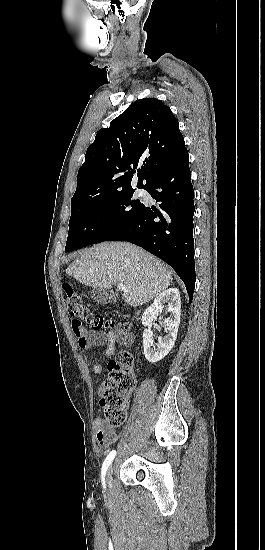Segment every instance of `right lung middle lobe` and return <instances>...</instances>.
<instances>
[{
  "mask_svg": "<svg viewBox=\"0 0 265 550\" xmlns=\"http://www.w3.org/2000/svg\"><path fill=\"white\" fill-rule=\"evenodd\" d=\"M134 190L84 200L71 199V218L65 251L105 241L135 219L145 205L133 198Z\"/></svg>",
  "mask_w": 265,
  "mask_h": 550,
  "instance_id": "dd1d6c3e",
  "label": "right lung middle lobe"
}]
</instances>
